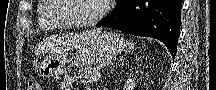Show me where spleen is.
Segmentation results:
<instances>
[{
    "mask_svg": "<svg viewBox=\"0 0 216 90\" xmlns=\"http://www.w3.org/2000/svg\"><path fill=\"white\" fill-rule=\"evenodd\" d=\"M128 46L129 48H134V44H131L130 40H128Z\"/></svg>",
    "mask_w": 216,
    "mask_h": 90,
    "instance_id": "spleen-1",
    "label": "spleen"
}]
</instances>
